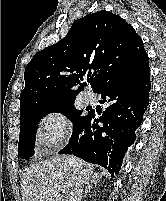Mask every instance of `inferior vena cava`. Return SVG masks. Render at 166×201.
<instances>
[{
	"label": "inferior vena cava",
	"instance_id": "1",
	"mask_svg": "<svg viewBox=\"0 0 166 201\" xmlns=\"http://www.w3.org/2000/svg\"><path fill=\"white\" fill-rule=\"evenodd\" d=\"M69 162H70V164H73V165L76 164V162L72 158L69 159ZM74 175H75V179H76V185L74 186L75 201H81L82 192H83V180H82V177L77 174L76 168L74 169Z\"/></svg>",
	"mask_w": 166,
	"mask_h": 201
}]
</instances>
